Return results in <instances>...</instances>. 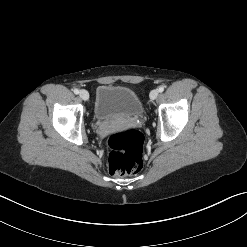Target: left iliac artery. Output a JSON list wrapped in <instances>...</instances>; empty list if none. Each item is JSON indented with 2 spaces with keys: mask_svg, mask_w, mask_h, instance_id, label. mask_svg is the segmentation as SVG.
<instances>
[{
  "mask_svg": "<svg viewBox=\"0 0 247 247\" xmlns=\"http://www.w3.org/2000/svg\"><path fill=\"white\" fill-rule=\"evenodd\" d=\"M158 91L161 93V92H163L164 91V86H160L159 88H158Z\"/></svg>",
  "mask_w": 247,
  "mask_h": 247,
  "instance_id": "obj_1",
  "label": "left iliac artery"
}]
</instances>
